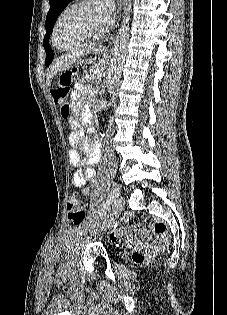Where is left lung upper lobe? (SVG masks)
Here are the masks:
<instances>
[{
    "instance_id": "obj_1",
    "label": "left lung upper lobe",
    "mask_w": 227,
    "mask_h": 315,
    "mask_svg": "<svg viewBox=\"0 0 227 315\" xmlns=\"http://www.w3.org/2000/svg\"><path fill=\"white\" fill-rule=\"evenodd\" d=\"M70 2L71 0H49L50 10L46 16V21H45L46 35L43 40V46L46 51L45 65L47 61L49 60V57H50L49 53L52 52V56H54L53 51L51 50L48 44V41H49L48 39L50 37V34L53 31L55 20Z\"/></svg>"
}]
</instances>
